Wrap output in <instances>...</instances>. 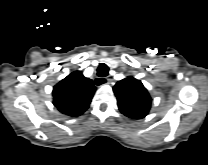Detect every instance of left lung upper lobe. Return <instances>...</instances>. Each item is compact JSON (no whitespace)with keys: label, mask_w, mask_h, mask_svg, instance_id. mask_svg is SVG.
I'll return each instance as SVG.
<instances>
[{"label":"left lung upper lobe","mask_w":208,"mask_h":165,"mask_svg":"<svg viewBox=\"0 0 208 165\" xmlns=\"http://www.w3.org/2000/svg\"><path fill=\"white\" fill-rule=\"evenodd\" d=\"M118 107L122 114L131 119H142L150 110L151 97L140 80L127 77L113 87Z\"/></svg>","instance_id":"1"}]
</instances>
